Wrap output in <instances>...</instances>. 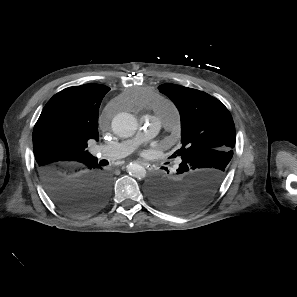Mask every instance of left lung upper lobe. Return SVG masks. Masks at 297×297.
I'll return each mask as SVG.
<instances>
[{"mask_svg": "<svg viewBox=\"0 0 297 297\" xmlns=\"http://www.w3.org/2000/svg\"><path fill=\"white\" fill-rule=\"evenodd\" d=\"M158 88L174 102L181 117V147L172 157L181 158V167L188 174L205 172L217 176L220 187L236 141L234 122L228 109L218 99L196 89L170 83ZM183 198V193L151 197L155 204L164 207L173 206ZM210 198L207 197L200 206Z\"/></svg>", "mask_w": 297, "mask_h": 297, "instance_id": "5c2ea615", "label": "left lung upper lobe"}]
</instances>
